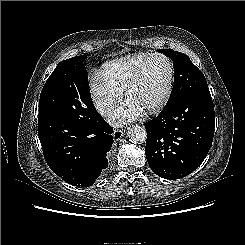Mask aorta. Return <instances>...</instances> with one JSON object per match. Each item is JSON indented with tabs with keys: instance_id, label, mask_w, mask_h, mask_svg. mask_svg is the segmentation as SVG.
<instances>
[{
	"instance_id": "aorta-1",
	"label": "aorta",
	"mask_w": 245,
	"mask_h": 245,
	"mask_svg": "<svg viewBox=\"0 0 245 245\" xmlns=\"http://www.w3.org/2000/svg\"><path fill=\"white\" fill-rule=\"evenodd\" d=\"M128 139L130 142L134 144H141L146 141L147 133L143 126L134 125L129 128L128 132Z\"/></svg>"
}]
</instances>
